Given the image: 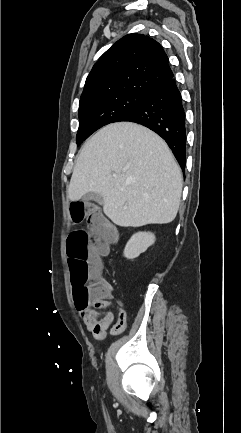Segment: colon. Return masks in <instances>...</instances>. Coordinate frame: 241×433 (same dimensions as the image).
Returning <instances> with one entry per match:
<instances>
[{"instance_id":"5ec220e1","label":"colon","mask_w":241,"mask_h":433,"mask_svg":"<svg viewBox=\"0 0 241 433\" xmlns=\"http://www.w3.org/2000/svg\"><path fill=\"white\" fill-rule=\"evenodd\" d=\"M98 200L70 202L71 221H86L93 239L84 230L70 234L67 244L69 272H72V290L78 312H87L88 306L104 294L100 278V255L116 240L108 220L103 216Z\"/></svg>"}]
</instances>
